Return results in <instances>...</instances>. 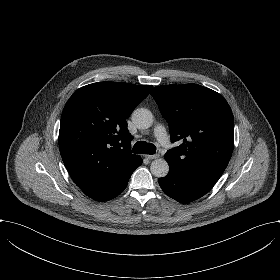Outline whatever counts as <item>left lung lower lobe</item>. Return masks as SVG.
Masks as SVG:
<instances>
[{
    "instance_id": "0a47b994",
    "label": "left lung lower lobe",
    "mask_w": 280,
    "mask_h": 280,
    "mask_svg": "<svg viewBox=\"0 0 280 280\" xmlns=\"http://www.w3.org/2000/svg\"><path fill=\"white\" fill-rule=\"evenodd\" d=\"M219 178L206 174H186L170 166L167 176L159 178L162 190L180 203H189L209 192Z\"/></svg>"
}]
</instances>
